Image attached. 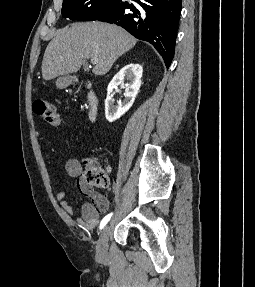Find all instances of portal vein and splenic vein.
Masks as SVG:
<instances>
[{"label":"portal vein and splenic vein","instance_id":"obj_1","mask_svg":"<svg viewBox=\"0 0 255 287\" xmlns=\"http://www.w3.org/2000/svg\"><path fill=\"white\" fill-rule=\"evenodd\" d=\"M97 62H98V58H92L91 64H97Z\"/></svg>","mask_w":255,"mask_h":287}]
</instances>
